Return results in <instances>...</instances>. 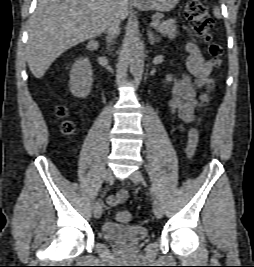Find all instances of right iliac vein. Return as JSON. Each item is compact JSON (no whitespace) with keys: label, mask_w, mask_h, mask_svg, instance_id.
<instances>
[{"label":"right iliac vein","mask_w":254,"mask_h":267,"mask_svg":"<svg viewBox=\"0 0 254 267\" xmlns=\"http://www.w3.org/2000/svg\"><path fill=\"white\" fill-rule=\"evenodd\" d=\"M112 171L110 169L106 170L105 173H104V176H103V180L105 182H110L112 180ZM93 214H94V217L99 219L102 215V205L100 203V201H96L94 204H93Z\"/></svg>","instance_id":"1"}]
</instances>
